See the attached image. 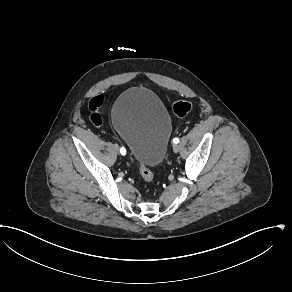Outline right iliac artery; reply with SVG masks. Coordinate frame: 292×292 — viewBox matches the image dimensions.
Returning <instances> with one entry per match:
<instances>
[{"mask_svg":"<svg viewBox=\"0 0 292 292\" xmlns=\"http://www.w3.org/2000/svg\"><path fill=\"white\" fill-rule=\"evenodd\" d=\"M120 153H121L122 155H125V154H126V149H125L124 147H121V149H120Z\"/></svg>","mask_w":292,"mask_h":292,"instance_id":"obj_1","label":"right iliac artery"}]
</instances>
